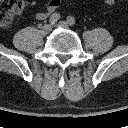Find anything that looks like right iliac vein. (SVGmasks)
I'll list each match as a JSON object with an SVG mask.
<instances>
[{
  "mask_svg": "<svg viewBox=\"0 0 128 128\" xmlns=\"http://www.w3.org/2000/svg\"><path fill=\"white\" fill-rule=\"evenodd\" d=\"M52 28H53V26L51 24H46V25H44L43 30L46 33H49L52 30Z\"/></svg>",
  "mask_w": 128,
  "mask_h": 128,
  "instance_id": "1",
  "label": "right iliac vein"
}]
</instances>
